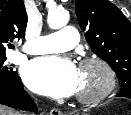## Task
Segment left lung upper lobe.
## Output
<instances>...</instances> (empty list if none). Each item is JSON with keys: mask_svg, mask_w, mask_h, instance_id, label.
I'll return each mask as SVG.
<instances>
[{"mask_svg": "<svg viewBox=\"0 0 131 115\" xmlns=\"http://www.w3.org/2000/svg\"><path fill=\"white\" fill-rule=\"evenodd\" d=\"M79 25L93 52L117 74L121 92L131 99V24L108 0H76Z\"/></svg>", "mask_w": 131, "mask_h": 115, "instance_id": "5c2ea615", "label": "left lung upper lobe"}]
</instances>
